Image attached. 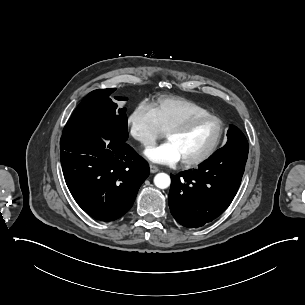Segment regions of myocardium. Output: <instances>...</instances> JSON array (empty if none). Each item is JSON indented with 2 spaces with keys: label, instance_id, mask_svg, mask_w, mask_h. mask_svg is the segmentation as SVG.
<instances>
[{
  "label": "myocardium",
  "instance_id": "myocardium-1",
  "mask_svg": "<svg viewBox=\"0 0 305 305\" xmlns=\"http://www.w3.org/2000/svg\"><path fill=\"white\" fill-rule=\"evenodd\" d=\"M208 119H217L220 122L221 129L219 136L216 142L201 156L191 160H182V164L184 165L185 168H193L199 166L214 156V154L220 149V147L222 146L225 140V136L228 130L227 124L224 121V119L221 118L219 115L208 112L203 115L192 116L177 123H174L166 130L165 136L167 137L169 133L184 131L189 127H191L192 125L206 121Z\"/></svg>",
  "mask_w": 305,
  "mask_h": 305
}]
</instances>
